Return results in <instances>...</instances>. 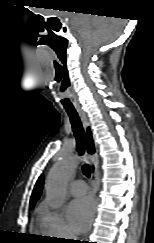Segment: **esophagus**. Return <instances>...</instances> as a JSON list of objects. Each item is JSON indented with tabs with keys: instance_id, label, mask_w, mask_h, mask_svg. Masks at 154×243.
I'll return each instance as SVG.
<instances>
[{
	"instance_id": "34e87169",
	"label": "esophagus",
	"mask_w": 154,
	"mask_h": 243,
	"mask_svg": "<svg viewBox=\"0 0 154 243\" xmlns=\"http://www.w3.org/2000/svg\"><path fill=\"white\" fill-rule=\"evenodd\" d=\"M83 125H84V129H85V134H86V153L87 156L90 160V168H91V180H92V187H93V197H94V214H93V218L95 216L96 213V197H97V192L99 189L98 186V148L95 142V137L92 131V126L90 124V122L88 121L86 114L78 109L77 110Z\"/></svg>"
}]
</instances>
